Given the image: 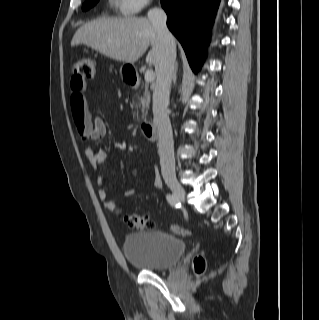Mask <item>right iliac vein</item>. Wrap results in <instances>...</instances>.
I'll list each match as a JSON object with an SVG mask.
<instances>
[{
  "label": "right iliac vein",
  "instance_id": "obj_1",
  "mask_svg": "<svg viewBox=\"0 0 319 320\" xmlns=\"http://www.w3.org/2000/svg\"><path fill=\"white\" fill-rule=\"evenodd\" d=\"M166 183L177 198L184 200L185 190L175 178H167Z\"/></svg>",
  "mask_w": 319,
  "mask_h": 320
}]
</instances>
